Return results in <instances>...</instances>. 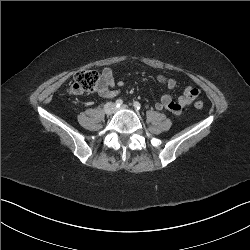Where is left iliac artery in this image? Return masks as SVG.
<instances>
[{"label":"left iliac artery","mask_w":250,"mask_h":250,"mask_svg":"<svg viewBox=\"0 0 250 250\" xmlns=\"http://www.w3.org/2000/svg\"><path fill=\"white\" fill-rule=\"evenodd\" d=\"M133 106L137 110L141 109V104L139 102H137V101L133 103Z\"/></svg>","instance_id":"obj_1"}]
</instances>
